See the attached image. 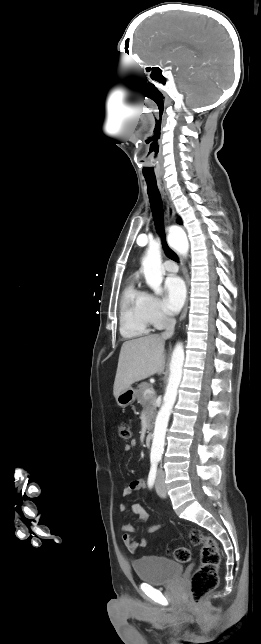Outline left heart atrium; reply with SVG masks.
Wrapping results in <instances>:
<instances>
[{
	"label": "left heart atrium",
	"instance_id": "obj_1",
	"mask_svg": "<svg viewBox=\"0 0 261 644\" xmlns=\"http://www.w3.org/2000/svg\"><path fill=\"white\" fill-rule=\"evenodd\" d=\"M165 298L164 307L170 314H176L182 308L186 290L182 279L178 276H169L164 284Z\"/></svg>",
	"mask_w": 261,
	"mask_h": 644
}]
</instances>
